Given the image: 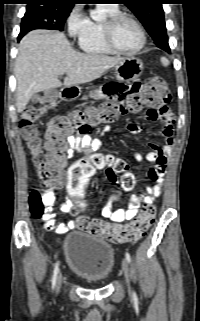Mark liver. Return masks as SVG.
I'll return each mask as SVG.
<instances>
[{
    "label": "liver",
    "instance_id": "1",
    "mask_svg": "<svg viewBox=\"0 0 200 321\" xmlns=\"http://www.w3.org/2000/svg\"><path fill=\"white\" fill-rule=\"evenodd\" d=\"M123 59L80 53L63 33L34 30L21 40L15 60L17 111L22 112L34 94L61 87L60 75L66 74L64 87L88 83Z\"/></svg>",
    "mask_w": 200,
    "mask_h": 321
}]
</instances>
